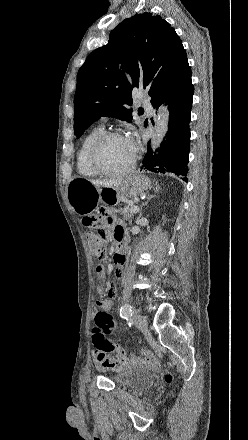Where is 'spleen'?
I'll use <instances>...</instances> for the list:
<instances>
[{
	"label": "spleen",
	"instance_id": "spleen-1",
	"mask_svg": "<svg viewBox=\"0 0 248 440\" xmlns=\"http://www.w3.org/2000/svg\"><path fill=\"white\" fill-rule=\"evenodd\" d=\"M159 189H160V187H159V185H157V183H156V188H155L156 192H157Z\"/></svg>",
	"mask_w": 248,
	"mask_h": 440
}]
</instances>
